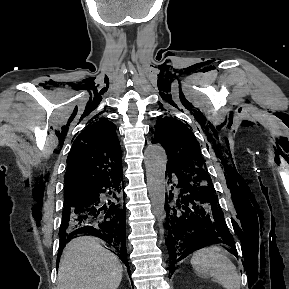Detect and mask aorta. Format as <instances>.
Returning a JSON list of instances; mask_svg holds the SVG:
<instances>
[{"label": "aorta", "mask_w": 289, "mask_h": 289, "mask_svg": "<svg viewBox=\"0 0 289 289\" xmlns=\"http://www.w3.org/2000/svg\"><path fill=\"white\" fill-rule=\"evenodd\" d=\"M147 185L154 214L164 220L165 215V171L166 152L161 145H149L144 152Z\"/></svg>", "instance_id": "obj_1"}]
</instances>
